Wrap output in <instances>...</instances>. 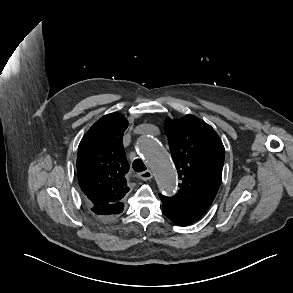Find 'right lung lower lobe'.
<instances>
[{"mask_svg":"<svg viewBox=\"0 0 293 293\" xmlns=\"http://www.w3.org/2000/svg\"><path fill=\"white\" fill-rule=\"evenodd\" d=\"M124 204H114L101 207H92L91 211L94 215L104 221L115 218L118 214L123 211Z\"/></svg>","mask_w":293,"mask_h":293,"instance_id":"obj_1","label":"right lung lower lobe"}]
</instances>
